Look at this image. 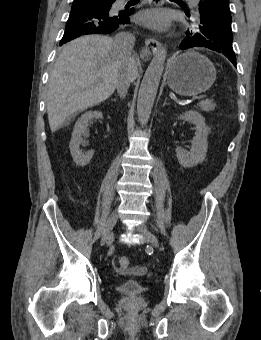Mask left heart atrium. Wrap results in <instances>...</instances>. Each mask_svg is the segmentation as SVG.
Here are the masks:
<instances>
[{
  "label": "left heart atrium",
  "mask_w": 261,
  "mask_h": 340,
  "mask_svg": "<svg viewBox=\"0 0 261 340\" xmlns=\"http://www.w3.org/2000/svg\"><path fill=\"white\" fill-rule=\"evenodd\" d=\"M141 22L154 30H164L168 27L170 16L164 9H152L144 11L140 16Z\"/></svg>",
  "instance_id": "left-heart-atrium-1"
}]
</instances>
